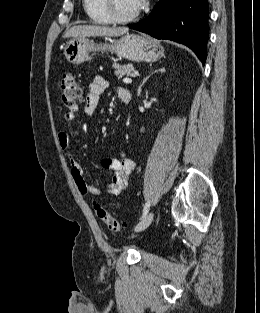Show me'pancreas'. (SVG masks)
<instances>
[{
    "mask_svg": "<svg viewBox=\"0 0 260 313\" xmlns=\"http://www.w3.org/2000/svg\"><path fill=\"white\" fill-rule=\"evenodd\" d=\"M113 68L116 69L115 75L118 78H121L124 75H127V76L132 75L133 76L135 74V72H136V70H135V68L133 67L132 64H127V65L121 66V65H119L117 63H114L113 64Z\"/></svg>",
    "mask_w": 260,
    "mask_h": 313,
    "instance_id": "1",
    "label": "pancreas"
}]
</instances>
